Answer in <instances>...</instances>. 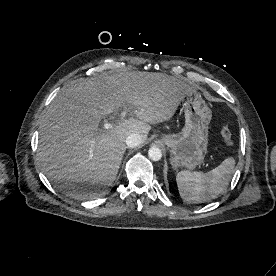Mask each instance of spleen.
I'll return each mask as SVG.
<instances>
[{
    "mask_svg": "<svg viewBox=\"0 0 276 276\" xmlns=\"http://www.w3.org/2000/svg\"><path fill=\"white\" fill-rule=\"evenodd\" d=\"M235 167L232 157L226 158L207 173L180 171L176 182L181 198L188 203H202L215 199L228 186Z\"/></svg>",
    "mask_w": 276,
    "mask_h": 276,
    "instance_id": "3e777b00",
    "label": "spleen"
}]
</instances>
